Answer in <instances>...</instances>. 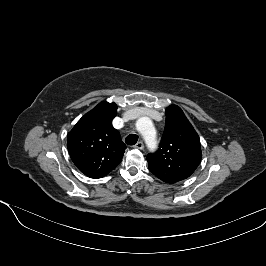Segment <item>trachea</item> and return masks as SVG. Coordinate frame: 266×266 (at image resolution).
Masks as SVG:
<instances>
[{
	"mask_svg": "<svg viewBox=\"0 0 266 266\" xmlns=\"http://www.w3.org/2000/svg\"><path fill=\"white\" fill-rule=\"evenodd\" d=\"M138 141V136L136 134H130L126 137L125 142L128 145H134L136 144Z\"/></svg>",
	"mask_w": 266,
	"mask_h": 266,
	"instance_id": "obj_1",
	"label": "trachea"
}]
</instances>
